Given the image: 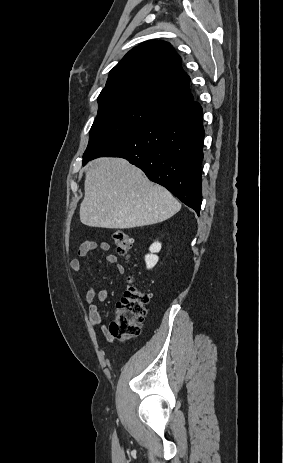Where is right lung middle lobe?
<instances>
[{"mask_svg": "<svg viewBox=\"0 0 283 463\" xmlns=\"http://www.w3.org/2000/svg\"><path fill=\"white\" fill-rule=\"evenodd\" d=\"M98 103V114L91 127L83 158L161 112L146 102L121 93L99 95Z\"/></svg>", "mask_w": 283, "mask_h": 463, "instance_id": "right-lung-middle-lobe-1", "label": "right lung middle lobe"}]
</instances>
